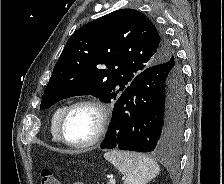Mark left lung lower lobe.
<instances>
[{
    "label": "left lung lower lobe",
    "instance_id": "1",
    "mask_svg": "<svg viewBox=\"0 0 224 184\" xmlns=\"http://www.w3.org/2000/svg\"><path fill=\"white\" fill-rule=\"evenodd\" d=\"M185 90L175 61L151 66L138 74L118 97L113 121L101 149L172 152L180 146Z\"/></svg>",
    "mask_w": 224,
    "mask_h": 184
}]
</instances>
